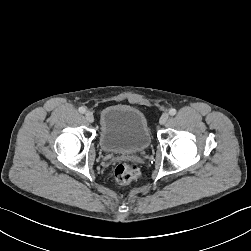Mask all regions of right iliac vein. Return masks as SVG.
Here are the masks:
<instances>
[{"mask_svg": "<svg viewBox=\"0 0 251 251\" xmlns=\"http://www.w3.org/2000/svg\"><path fill=\"white\" fill-rule=\"evenodd\" d=\"M85 118L89 123H92L94 121V116L91 111H86L85 112Z\"/></svg>", "mask_w": 251, "mask_h": 251, "instance_id": "right-iliac-vein-1", "label": "right iliac vein"}]
</instances>
